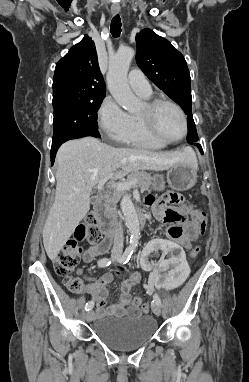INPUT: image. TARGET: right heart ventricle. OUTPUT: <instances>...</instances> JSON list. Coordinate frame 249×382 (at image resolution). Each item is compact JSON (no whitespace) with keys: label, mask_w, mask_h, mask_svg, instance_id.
Listing matches in <instances>:
<instances>
[{"label":"right heart ventricle","mask_w":249,"mask_h":382,"mask_svg":"<svg viewBox=\"0 0 249 382\" xmlns=\"http://www.w3.org/2000/svg\"><path fill=\"white\" fill-rule=\"evenodd\" d=\"M145 98H149V96L141 95ZM130 131L128 135H126L124 138L120 140V142L134 146L139 147L143 149H162L166 147L167 144L159 142L155 140L152 136L149 135V133L145 130L139 115L132 114L130 115Z\"/></svg>","instance_id":"e07e8e85"}]
</instances>
